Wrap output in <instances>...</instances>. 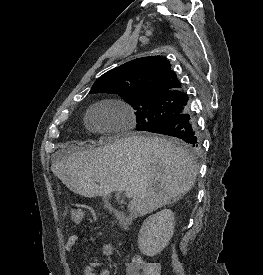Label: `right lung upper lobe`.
Segmentation results:
<instances>
[{
    "mask_svg": "<svg viewBox=\"0 0 263 275\" xmlns=\"http://www.w3.org/2000/svg\"><path fill=\"white\" fill-rule=\"evenodd\" d=\"M97 89H120L134 95H186L169 61L162 56L138 58L106 72L91 90Z\"/></svg>",
    "mask_w": 263,
    "mask_h": 275,
    "instance_id": "cb5924a9",
    "label": "right lung upper lobe"
}]
</instances>
